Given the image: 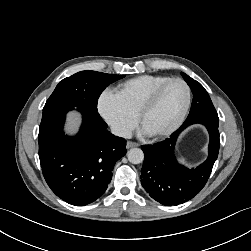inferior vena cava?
Masks as SVG:
<instances>
[{
  "label": "inferior vena cava",
  "mask_w": 251,
  "mask_h": 251,
  "mask_svg": "<svg viewBox=\"0 0 251 251\" xmlns=\"http://www.w3.org/2000/svg\"><path fill=\"white\" fill-rule=\"evenodd\" d=\"M111 133L116 136L128 138V139L131 138V135H132V133L129 130L121 126H117V125L111 126Z\"/></svg>",
  "instance_id": "obj_1"
}]
</instances>
